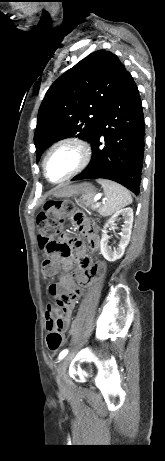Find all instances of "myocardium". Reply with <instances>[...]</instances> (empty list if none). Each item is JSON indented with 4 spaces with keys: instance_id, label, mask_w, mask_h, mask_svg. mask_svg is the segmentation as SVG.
Masks as SVG:
<instances>
[{
    "instance_id": "f54148a6",
    "label": "myocardium",
    "mask_w": 165,
    "mask_h": 461,
    "mask_svg": "<svg viewBox=\"0 0 165 461\" xmlns=\"http://www.w3.org/2000/svg\"><path fill=\"white\" fill-rule=\"evenodd\" d=\"M65 147L71 148L72 150L76 152L77 154L76 164L65 176H63L62 178L58 180L53 181L48 177V174H47V167H46L47 160L55 150L59 148H65ZM90 160H91V149L89 145L83 139L79 137H73V136L61 138L55 141L47 149V151L44 154L43 161H42L43 175L50 183L59 184V183H62V182H65L71 179L72 177L82 172L88 166Z\"/></svg>"
}]
</instances>
